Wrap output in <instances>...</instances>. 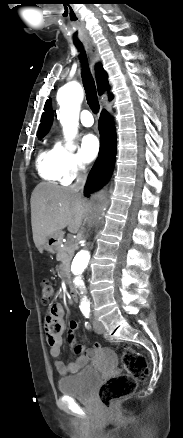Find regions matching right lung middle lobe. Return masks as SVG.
<instances>
[{
	"mask_svg": "<svg viewBox=\"0 0 183 438\" xmlns=\"http://www.w3.org/2000/svg\"><path fill=\"white\" fill-rule=\"evenodd\" d=\"M43 136H44V135H41V136H38V137H39V139H40V138H42Z\"/></svg>",
	"mask_w": 183,
	"mask_h": 438,
	"instance_id": "right-lung-middle-lobe-1",
	"label": "right lung middle lobe"
}]
</instances>
